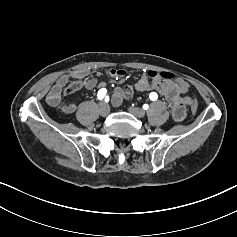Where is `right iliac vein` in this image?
<instances>
[{
    "label": "right iliac vein",
    "instance_id": "1",
    "mask_svg": "<svg viewBox=\"0 0 237 237\" xmlns=\"http://www.w3.org/2000/svg\"><path fill=\"white\" fill-rule=\"evenodd\" d=\"M109 114V107L106 103H101L100 105V115L106 117Z\"/></svg>",
    "mask_w": 237,
    "mask_h": 237
}]
</instances>
